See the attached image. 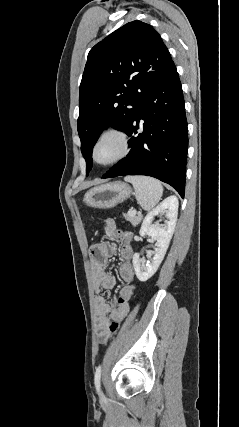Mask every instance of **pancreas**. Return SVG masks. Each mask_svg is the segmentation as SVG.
Returning <instances> with one entry per match:
<instances>
[{
	"label": "pancreas",
	"instance_id": "pancreas-1",
	"mask_svg": "<svg viewBox=\"0 0 239 427\" xmlns=\"http://www.w3.org/2000/svg\"><path fill=\"white\" fill-rule=\"evenodd\" d=\"M124 218H125L127 221L131 222V224H132L133 226L138 225V224L141 222V220H142V216H141V215H138V216H136V215H134V216H129L128 214H124Z\"/></svg>",
	"mask_w": 239,
	"mask_h": 427
}]
</instances>
